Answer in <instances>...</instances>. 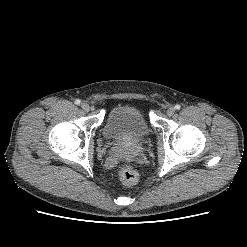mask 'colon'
I'll return each instance as SVG.
<instances>
[{
	"instance_id": "obj_1",
	"label": "colon",
	"mask_w": 247,
	"mask_h": 247,
	"mask_svg": "<svg viewBox=\"0 0 247 247\" xmlns=\"http://www.w3.org/2000/svg\"><path fill=\"white\" fill-rule=\"evenodd\" d=\"M120 180L128 186H133L138 182L137 172L128 165H122L118 169Z\"/></svg>"
}]
</instances>
